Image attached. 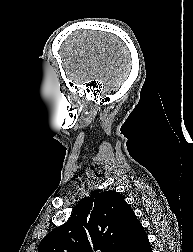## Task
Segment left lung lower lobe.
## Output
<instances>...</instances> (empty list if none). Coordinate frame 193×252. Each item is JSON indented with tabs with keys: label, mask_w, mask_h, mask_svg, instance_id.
Segmentation results:
<instances>
[{
	"label": "left lung lower lobe",
	"mask_w": 193,
	"mask_h": 252,
	"mask_svg": "<svg viewBox=\"0 0 193 252\" xmlns=\"http://www.w3.org/2000/svg\"><path fill=\"white\" fill-rule=\"evenodd\" d=\"M125 252H152L147 234L141 223L134 229Z\"/></svg>",
	"instance_id": "obj_1"
}]
</instances>
